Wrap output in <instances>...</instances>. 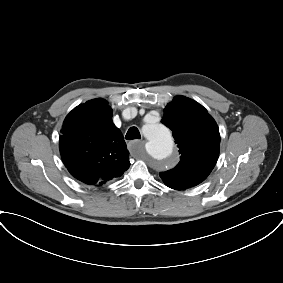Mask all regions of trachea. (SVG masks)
I'll list each match as a JSON object with an SVG mask.
<instances>
[{"mask_svg":"<svg viewBox=\"0 0 283 283\" xmlns=\"http://www.w3.org/2000/svg\"><path fill=\"white\" fill-rule=\"evenodd\" d=\"M140 138H141L140 132L136 127H131L125 136V139L127 140L140 139Z\"/></svg>","mask_w":283,"mask_h":283,"instance_id":"1","label":"trachea"}]
</instances>
